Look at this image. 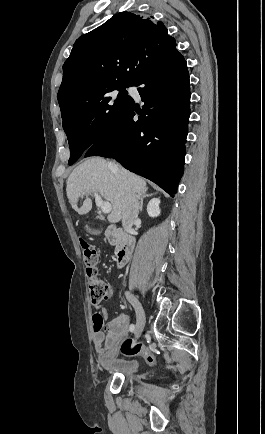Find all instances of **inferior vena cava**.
Returning a JSON list of instances; mask_svg holds the SVG:
<instances>
[{
	"label": "inferior vena cava",
	"mask_w": 265,
	"mask_h": 434,
	"mask_svg": "<svg viewBox=\"0 0 265 434\" xmlns=\"http://www.w3.org/2000/svg\"><path fill=\"white\" fill-rule=\"evenodd\" d=\"M111 168L118 170L117 166H113V164ZM117 178L119 180V188L121 192L125 194L122 212V226L126 232H130L139 214L138 196L132 192L127 178H125L124 174H122L120 170H118Z\"/></svg>",
	"instance_id": "obj_1"
}]
</instances>
